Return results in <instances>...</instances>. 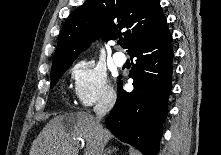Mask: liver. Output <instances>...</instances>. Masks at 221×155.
Returning <instances> with one entry per match:
<instances>
[{"label":"liver","mask_w":221,"mask_h":155,"mask_svg":"<svg viewBox=\"0 0 221 155\" xmlns=\"http://www.w3.org/2000/svg\"><path fill=\"white\" fill-rule=\"evenodd\" d=\"M111 137V132L87 112L59 115L33 141L29 155H78L83 141H86L84 155H99L100 145Z\"/></svg>","instance_id":"1"}]
</instances>
